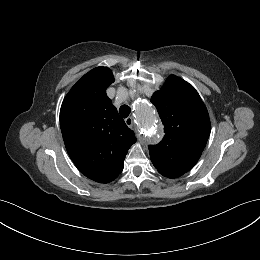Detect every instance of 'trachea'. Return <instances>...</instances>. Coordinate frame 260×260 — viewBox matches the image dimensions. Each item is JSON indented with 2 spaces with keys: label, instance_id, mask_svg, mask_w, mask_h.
<instances>
[{
  "label": "trachea",
  "instance_id": "obj_1",
  "mask_svg": "<svg viewBox=\"0 0 260 260\" xmlns=\"http://www.w3.org/2000/svg\"><path fill=\"white\" fill-rule=\"evenodd\" d=\"M119 113L121 117L127 118L129 114L131 113V108L127 105H122L119 109Z\"/></svg>",
  "mask_w": 260,
  "mask_h": 260
}]
</instances>
